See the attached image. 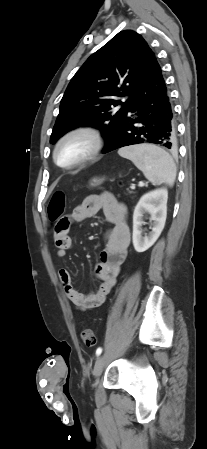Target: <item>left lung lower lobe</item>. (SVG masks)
I'll use <instances>...</instances> for the list:
<instances>
[{"label":"left lung lower lobe","instance_id":"1","mask_svg":"<svg viewBox=\"0 0 207 449\" xmlns=\"http://www.w3.org/2000/svg\"><path fill=\"white\" fill-rule=\"evenodd\" d=\"M135 104L103 153L141 143H154L174 150L177 146L175 113L158 62L136 96Z\"/></svg>","mask_w":207,"mask_h":449}]
</instances>
